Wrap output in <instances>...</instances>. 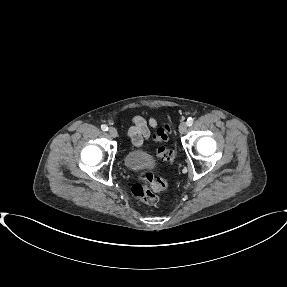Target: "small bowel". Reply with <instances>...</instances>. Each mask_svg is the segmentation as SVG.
I'll return each mask as SVG.
<instances>
[{"mask_svg":"<svg viewBox=\"0 0 287 287\" xmlns=\"http://www.w3.org/2000/svg\"><path fill=\"white\" fill-rule=\"evenodd\" d=\"M132 127L129 130V137L131 139V142L134 146L140 147L142 146L145 139L149 138L150 131L147 126V122L144 118L140 116H136L132 120ZM157 120L156 119H150L149 125L153 128L157 126Z\"/></svg>","mask_w":287,"mask_h":287,"instance_id":"small-bowel-1","label":"small bowel"}]
</instances>
